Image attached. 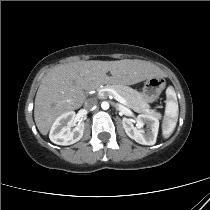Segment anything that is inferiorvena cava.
Instances as JSON below:
<instances>
[{
	"label": "inferior vena cava",
	"instance_id": "inferior-vena-cava-1",
	"mask_svg": "<svg viewBox=\"0 0 210 210\" xmlns=\"http://www.w3.org/2000/svg\"><path fill=\"white\" fill-rule=\"evenodd\" d=\"M98 103V101L96 99H89L85 102V107L86 108H92L93 106H95Z\"/></svg>",
	"mask_w": 210,
	"mask_h": 210
}]
</instances>
